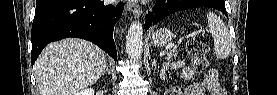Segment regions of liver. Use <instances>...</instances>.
I'll list each match as a JSON object with an SVG mask.
<instances>
[{"label":"liver","mask_w":277,"mask_h":95,"mask_svg":"<svg viewBox=\"0 0 277 95\" xmlns=\"http://www.w3.org/2000/svg\"><path fill=\"white\" fill-rule=\"evenodd\" d=\"M107 66L105 53L86 40L47 45L34 64L40 95H77L95 84Z\"/></svg>","instance_id":"1"}]
</instances>
